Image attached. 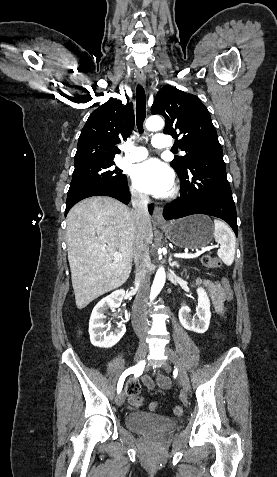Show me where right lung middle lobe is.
<instances>
[{"label":"right lung middle lobe","instance_id":"dd1d6c3e","mask_svg":"<svg viewBox=\"0 0 277 477\" xmlns=\"http://www.w3.org/2000/svg\"><path fill=\"white\" fill-rule=\"evenodd\" d=\"M114 165V161H107L75 167L66 202L92 188L125 187L127 185L126 175L122 174V170Z\"/></svg>","mask_w":277,"mask_h":477}]
</instances>
